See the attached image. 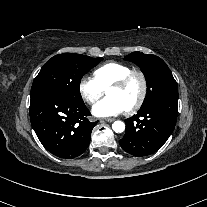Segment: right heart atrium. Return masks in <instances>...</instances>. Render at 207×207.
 <instances>
[{"instance_id": "1", "label": "right heart atrium", "mask_w": 207, "mask_h": 207, "mask_svg": "<svg viewBox=\"0 0 207 207\" xmlns=\"http://www.w3.org/2000/svg\"><path fill=\"white\" fill-rule=\"evenodd\" d=\"M79 92L87 103L93 104L102 97L104 89L94 78L85 77L79 83Z\"/></svg>"}]
</instances>
